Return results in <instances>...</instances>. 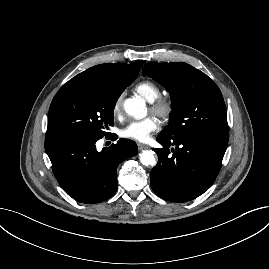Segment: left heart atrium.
Returning a JSON list of instances; mask_svg holds the SVG:
<instances>
[{
	"instance_id": "39dd6f15",
	"label": "left heart atrium",
	"mask_w": 269,
	"mask_h": 269,
	"mask_svg": "<svg viewBox=\"0 0 269 269\" xmlns=\"http://www.w3.org/2000/svg\"><path fill=\"white\" fill-rule=\"evenodd\" d=\"M159 127L160 123L158 119L150 116L141 120L131 121L121 130V135L127 139L146 142L149 140L151 134L156 132Z\"/></svg>"
}]
</instances>
